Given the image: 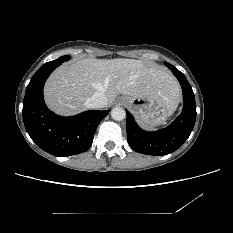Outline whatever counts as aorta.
<instances>
[{"label":"aorta","instance_id":"762f6f07","mask_svg":"<svg viewBox=\"0 0 233 233\" xmlns=\"http://www.w3.org/2000/svg\"><path fill=\"white\" fill-rule=\"evenodd\" d=\"M111 116L116 121H122L126 117V112L122 107H115L111 111Z\"/></svg>","mask_w":233,"mask_h":233}]
</instances>
